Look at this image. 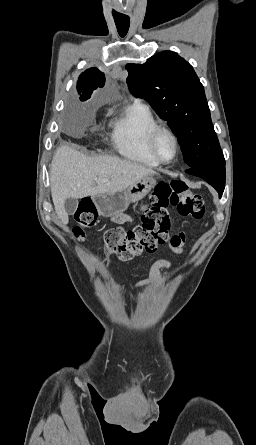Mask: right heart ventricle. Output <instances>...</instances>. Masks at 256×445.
I'll return each mask as SVG.
<instances>
[{
	"label": "right heart ventricle",
	"instance_id": "obj_1",
	"mask_svg": "<svg viewBox=\"0 0 256 445\" xmlns=\"http://www.w3.org/2000/svg\"><path fill=\"white\" fill-rule=\"evenodd\" d=\"M158 121L146 104L136 102L111 122V141L123 157L157 167L159 163L149 151L148 141Z\"/></svg>",
	"mask_w": 256,
	"mask_h": 445
}]
</instances>
